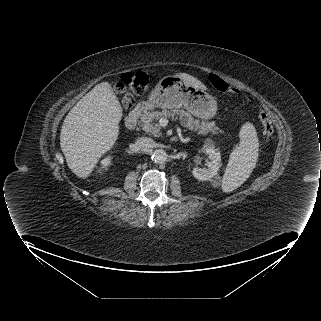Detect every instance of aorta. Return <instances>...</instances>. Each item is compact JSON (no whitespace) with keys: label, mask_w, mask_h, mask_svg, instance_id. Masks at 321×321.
<instances>
[{"label":"aorta","mask_w":321,"mask_h":321,"mask_svg":"<svg viewBox=\"0 0 321 321\" xmlns=\"http://www.w3.org/2000/svg\"><path fill=\"white\" fill-rule=\"evenodd\" d=\"M167 153L163 149H156L153 151L151 158L155 163L161 164L167 160Z\"/></svg>","instance_id":"obj_1"}]
</instances>
